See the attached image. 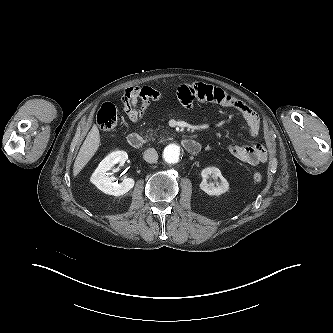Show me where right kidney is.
Listing matches in <instances>:
<instances>
[{"mask_svg": "<svg viewBox=\"0 0 333 333\" xmlns=\"http://www.w3.org/2000/svg\"><path fill=\"white\" fill-rule=\"evenodd\" d=\"M128 159V155L125 151H115L110 153L105 157L96 168L91 176L90 181L102 192L120 196L127 193L134 186V179L124 178L122 183L118 184L113 182L115 177L107 176V171H109L115 164H124Z\"/></svg>", "mask_w": 333, "mask_h": 333, "instance_id": "right-kidney-1", "label": "right kidney"}]
</instances>
